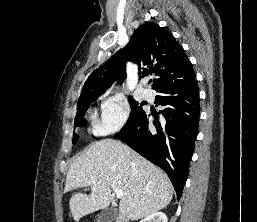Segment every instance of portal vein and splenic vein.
Segmentation results:
<instances>
[{
    "label": "portal vein and splenic vein",
    "mask_w": 257,
    "mask_h": 222,
    "mask_svg": "<svg viewBox=\"0 0 257 222\" xmlns=\"http://www.w3.org/2000/svg\"><path fill=\"white\" fill-rule=\"evenodd\" d=\"M92 184H96L95 181L91 182ZM112 189L114 190L117 198H122L124 193L121 189L117 188L115 185H112Z\"/></svg>",
    "instance_id": "portal-vein-and-splenic-vein-1"
}]
</instances>
